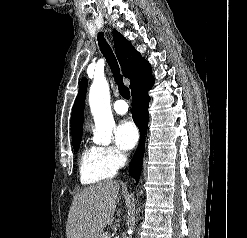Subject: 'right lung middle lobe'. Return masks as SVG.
Here are the masks:
<instances>
[{"label":"right lung middle lobe","mask_w":247,"mask_h":238,"mask_svg":"<svg viewBox=\"0 0 247 238\" xmlns=\"http://www.w3.org/2000/svg\"><path fill=\"white\" fill-rule=\"evenodd\" d=\"M80 142H81V140H79V141L73 143V147H74V150H75V151H78L79 146H80Z\"/></svg>","instance_id":"dd1d6c3e"}]
</instances>
